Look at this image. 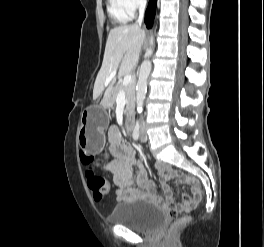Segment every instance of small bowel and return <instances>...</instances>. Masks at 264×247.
<instances>
[{
  "label": "small bowel",
  "instance_id": "c3829d8e",
  "mask_svg": "<svg viewBox=\"0 0 264 247\" xmlns=\"http://www.w3.org/2000/svg\"><path fill=\"white\" fill-rule=\"evenodd\" d=\"M109 142L108 156L113 160L104 166V169L113 175L114 184L117 187L116 195L119 202H128L132 198L145 195L160 202L161 198L154 193V188L148 179L147 173L143 166H140V172L137 176V184L143 191L140 192L132 186L133 165L136 163L134 151L123 141L119 129L111 126L107 132ZM156 170L160 175L162 187L167 199L172 198V192L168 185L171 177L176 176V171L163 163L156 164ZM198 190L193 189L192 193ZM199 192V191H198Z\"/></svg>",
  "mask_w": 264,
  "mask_h": 247
}]
</instances>
